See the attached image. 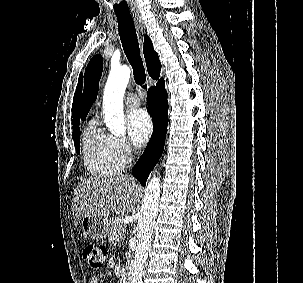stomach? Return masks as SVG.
<instances>
[{"instance_id": "1", "label": "stomach", "mask_w": 303, "mask_h": 283, "mask_svg": "<svg viewBox=\"0 0 303 283\" xmlns=\"http://www.w3.org/2000/svg\"><path fill=\"white\" fill-rule=\"evenodd\" d=\"M112 224L113 219L108 216H84L81 219L83 235L94 240L108 237Z\"/></svg>"}]
</instances>
